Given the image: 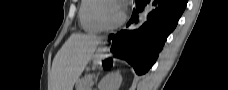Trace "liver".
<instances>
[{"mask_svg":"<svg viewBox=\"0 0 228 90\" xmlns=\"http://www.w3.org/2000/svg\"><path fill=\"white\" fill-rule=\"evenodd\" d=\"M102 38L96 35L72 34L57 52L52 63L53 90H73Z\"/></svg>","mask_w":228,"mask_h":90,"instance_id":"liver-1","label":"liver"}]
</instances>
